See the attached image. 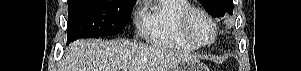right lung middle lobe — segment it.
<instances>
[{
	"label": "right lung middle lobe",
	"mask_w": 301,
	"mask_h": 71,
	"mask_svg": "<svg viewBox=\"0 0 301 71\" xmlns=\"http://www.w3.org/2000/svg\"><path fill=\"white\" fill-rule=\"evenodd\" d=\"M136 0H67L68 42L122 32Z\"/></svg>",
	"instance_id": "dd1d6c3e"
}]
</instances>
